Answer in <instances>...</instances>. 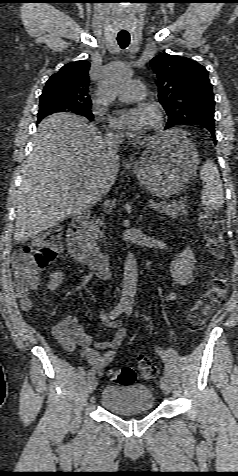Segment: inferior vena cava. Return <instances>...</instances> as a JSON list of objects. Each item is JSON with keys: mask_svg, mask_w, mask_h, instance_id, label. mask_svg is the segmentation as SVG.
Wrapping results in <instances>:
<instances>
[{"mask_svg": "<svg viewBox=\"0 0 238 476\" xmlns=\"http://www.w3.org/2000/svg\"><path fill=\"white\" fill-rule=\"evenodd\" d=\"M121 143V138L114 133H107L104 139V146L106 149V156L118 160V150Z\"/></svg>", "mask_w": 238, "mask_h": 476, "instance_id": "inferior-vena-cava-1", "label": "inferior vena cava"}]
</instances>
